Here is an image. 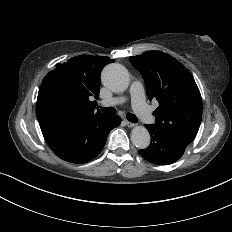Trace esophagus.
<instances>
[{"label": "esophagus", "mask_w": 232, "mask_h": 232, "mask_svg": "<svg viewBox=\"0 0 232 232\" xmlns=\"http://www.w3.org/2000/svg\"><path fill=\"white\" fill-rule=\"evenodd\" d=\"M125 122H126V125H127L128 127H133V126H135V124L132 123V122H129V121H125Z\"/></svg>", "instance_id": "1"}]
</instances>
